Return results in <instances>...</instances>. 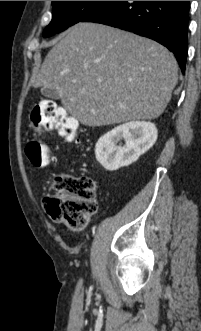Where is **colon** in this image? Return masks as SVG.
Returning <instances> with one entry per match:
<instances>
[{"label":"colon","instance_id":"5ec220e1","mask_svg":"<svg viewBox=\"0 0 201 331\" xmlns=\"http://www.w3.org/2000/svg\"><path fill=\"white\" fill-rule=\"evenodd\" d=\"M31 120L37 129H55L68 141L76 139V120L51 100H43L37 104L32 111ZM25 153L36 167L47 166L52 160L51 146L39 138H31L27 142ZM53 189L54 193L44 199L48 215L71 230L84 229L97 210L94 180L62 175L56 177Z\"/></svg>","mask_w":201,"mask_h":331}]
</instances>
